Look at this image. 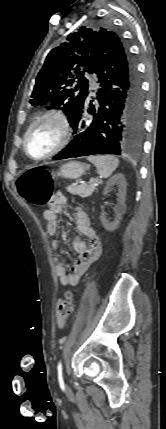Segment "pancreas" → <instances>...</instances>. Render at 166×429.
<instances>
[{
	"mask_svg": "<svg viewBox=\"0 0 166 429\" xmlns=\"http://www.w3.org/2000/svg\"><path fill=\"white\" fill-rule=\"evenodd\" d=\"M96 186L95 184L88 183V184H82V185H70L66 188V190L73 194V195H79L83 198H87L92 195V193L95 191Z\"/></svg>",
	"mask_w": 166,
	"mask_h": 429,
	"instance_id": "obj_1",
	"label": "pancreas"
}]
</instances>
